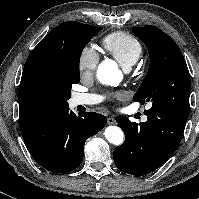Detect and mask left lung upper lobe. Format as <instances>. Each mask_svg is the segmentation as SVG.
<instances>
[{
  "instance_id": "1",
  "label": "left lung upper lobe",
  "mask_w": 199,
  "mask_h": 199,
  "mask_svg": "<svg viewBox=\"0 0 199 199\" xmlns=\"http://www.w3.org/2000/svg\"><path fill=\"white\" fill-rule=\"evenodd\" d=\"M150 56L149 71L133 101L152 102L151 109H166L189 116L190 74L175 41L154 26L134 27Z\"/></svg>"
}]
</instances>
